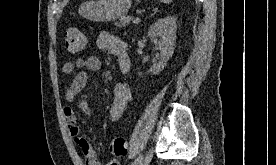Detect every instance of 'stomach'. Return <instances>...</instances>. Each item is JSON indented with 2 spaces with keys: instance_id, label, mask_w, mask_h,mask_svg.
Returning a JSON list of instances; mask_svg holds the SVG:
<instances>
[{
  "instance_id": "stomach-1",
  "label": "stomach",
  "mask_w": 276,
  "mask_h": 165,
  "mask_svg": "<svg viewBox=\"0 0 276 165\" xmlns=\"http://www.w3.org/2000/svg\"><path fill=\"white\" fill-rule=\"evenodd\" d=\"M130 6V0H90L79 6L78 13L91 21L106 22L125 16Z\"/></svg>"
}]
</instances>
